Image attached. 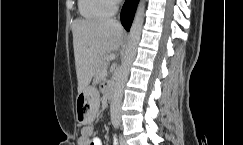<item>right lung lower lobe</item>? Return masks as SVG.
I'll return each instance as SVG.
<instances>
[{"mask_svg": "<svg viewBox=\"0 0 243 145\" xmlns=\"http://www.w3.org/2000/svg\"><path fill=\"white\" fill-rule=\"evenodd\" d=\"M138 1L139 0H126L123 5L120 17L121 23L126 30L130 29Z\"/></svg>", "mask_w": 243, "mask_h": 145, "instance_id": "98d812e1", "label": "right lung lower lobe"}]
</instances>
